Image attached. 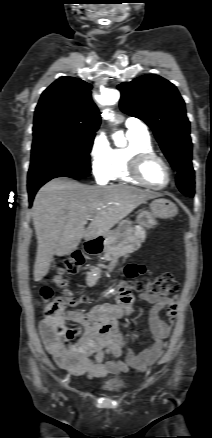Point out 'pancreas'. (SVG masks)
Returning <instances> with one entry per match:
<instances>
[{
  "label": "pancreas",
  "mask_w": 212,
  "mask_h": 438,
  "mask_svg": "<svg viewBox=\"0 0 212 438\" xmlns=\"http://www.w3.org/2000/svg\"><path fill=\"white\" fill-rule=\"evenodd\" d=\"M145 238L146 234L143 231L132 229L129 236L123 238L121 241L104 250V260L111 261L113 263L117 262L120 257L137 251L141 247L142 242L145 241ZM94 273H96L95 270H92V272L88 273L87 281L89 283L96 282L98 275H94Z\"/></svg>",
  "instance_id": "1"
}]
</instances>
